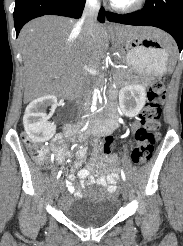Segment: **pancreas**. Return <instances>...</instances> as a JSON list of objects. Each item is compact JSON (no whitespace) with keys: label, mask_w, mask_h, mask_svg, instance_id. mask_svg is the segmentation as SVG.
<instances>
[{"label":"pancreas","mask_w":183,"mask_h":246,"mask_svg":"<svg viewBox=\"0 0 183 246\" xmlns=\"http://www.w3.org/2000/svg\"><path fill=\"white\" fill-rule=\"evenodd\" d=\"M118 72L128 74V73H130V70L120 69V70H118Z\"/></svg>","instance_id":"cf45deb5"}]
</instances>
